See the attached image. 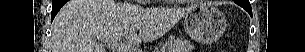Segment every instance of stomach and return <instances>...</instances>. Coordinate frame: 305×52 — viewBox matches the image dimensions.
<instances>
[{
  "label": "stomach",
  "mask_w": 305,
  "mask_h": 52,
  "mask_svg": "<svg viewBox=\"0 0 305 52\" xmlns=\"http://www.w3.org/2000/svg\"><path fill=\"white\" fill-rule=\"evenodd\" d=\"M226 26V18L216 7L200 4L184 15V29L195 41L211 43L221 37Z\"/></svg>",
  "instance_id": "stomach-1"
}]
</instances>
